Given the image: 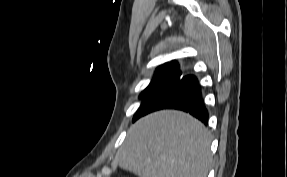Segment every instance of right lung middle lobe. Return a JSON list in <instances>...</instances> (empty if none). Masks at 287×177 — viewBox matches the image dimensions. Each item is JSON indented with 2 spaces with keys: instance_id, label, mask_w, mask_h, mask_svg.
<instances>
[{
  "instance_id": "right-lung-middle-lobe-1",
  "label": "right lung middle lobe",
  "mask_w": 287,
  "mask_h": 177,
  "mask_svg": "<svg viewBox=\"0 0 287 177\" xmlns=\"http://www.w3.org/2000/svg\"><path fill=\"white\" fill-rule=\"evenodd\" d=\"M179 69V65L176 61H173L171 63H166L164 65L159 66L154 74L153 79L151 80L150 84L148 87L140 94L139 98H142L144 94L147 92V90L155 83L157 82L160 78L165 76L166 74Z\"/></svg>"
}]
</instances>
